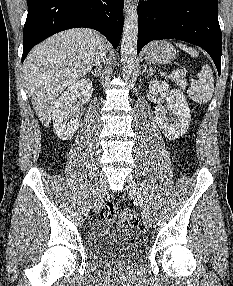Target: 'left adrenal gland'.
<instances>
[{"label": "left adrenal gland", "instance_id": "a2214340", "mask_svg": "<svg viewBox=\"0 0 233 286\" xmlns=\"http://www.w3.org/2000/svg\"><path fill=\"white\" fill-rule=\"evenodd\" d=\"M145 73H147L148 76H151L153 74V70L151 68L148 69L146 64L143 65V70H142V74Z\"/></svg>", "mask_w": 233, "mask_h": 286}]
</instances>
